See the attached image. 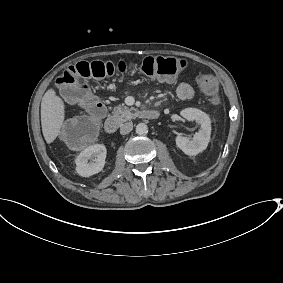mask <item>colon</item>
Returning <instances> with one entry per match:
<instances>
[{"label": "colon", "instance_id": "colon-1", "mask_svg": "<svg viewBox=\"0 0 283 283\" xmlns=\"http://www.w3.org/2000/svg\"><path fill=\"white\" fill-rule=\"evenodd\" d=\"M185 67L184 60L175 57L149 56L140 62H79L66 68L56 79L63 97L81 107L85 113L64 124L61 137L73 147L89 143L96 135L105 107L84 79H100L118 73L137 71L148 77L172 79ZM197 87L207 95L213 104H218V80L212 73L196 77Z\"/></svg>", "mask_w": 283, "mask_h": 283}]
</instances>
